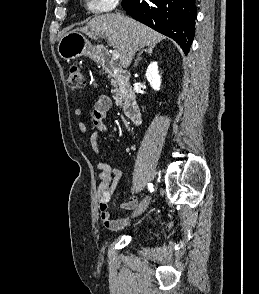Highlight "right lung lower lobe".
Here are the masks:
<instances>
[{"mask_svg":"<svg viewBox=\"0 0 259 294\" xmlns=\"http://www.w3.org/2000/svg\"><path fill=\"white\" fill-rule=\"evenodd\" d=\"M122 7L134 19L171 37L189 52L197 17L195 0H123Z\"/></svg>","mask_w":259,"mask_h":294,"instance_id":"1","label":"right lung lower lobe"}]
</instances>
